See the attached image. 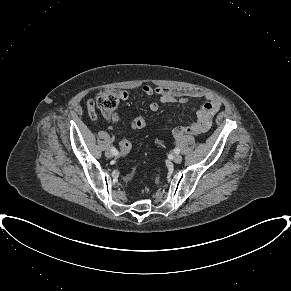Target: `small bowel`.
I'll return each instance as SVG.
<instances>
[{"label": "small bowel", "mask_w": 291, "mask_h": 291, "mask_svg": "<svg viewBox=\"0 0 291 291\" xmlns=\"http://www.w3.org/2000/svg\"><path fill=\"white\" fill-rule=\"evenodd\" d=\"M141 90L147 96H159L160 101L164 104L186 103L190 98H204L206 100L204 104L196 109L194 120L190 121L186 126H179L173 130L172 134L176 139L185 134L199 135L207 132L212 125V116L220 110L222 105L220 99L214 93L197 88H167L144 85ZM128 97V92H120L121 100H126ZM88 108L91 117L96 118L91 100L88 101ZM149 109L152 112H156L159 109V104L152 102L149 105ZM103 115L114 124L119 121V115L114 110L103 112Z\"/></svg>", "instance_id": "1"}]
</instances>
